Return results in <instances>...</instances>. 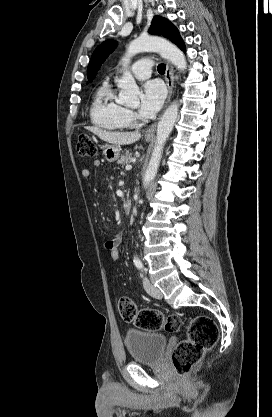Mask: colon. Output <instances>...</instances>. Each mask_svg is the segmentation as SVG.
Wrapping results in <instances>:
<instances>
[{"label": "colon", "instance_id": "1", "mask_svg": "<svg viewBox=\"0 0 272 417\" xmlns=\"http://www.w3.org/2000/svg\"><path fill=\"white\" fill-rule=\"evenodd\" d=\"M77 152L80 156L94 157L97 154V146L89 136L82 134L77 141ZM120 246L119 241H112L106 247L111 260L115 262L119 261L121 256ZM118 311L124 321L143 330L177 332L181 327L179 316H165L160 311L149 308L138 309L134 301L127 296L119 299ZM218 337V327L210 317L198 315L191 318L187 338L180 341L172 352V362L177 375L185 377L202 359L204 353L216 344Z\"/></svg>", "mask_w": 272, "mask_h": 417}]
</instances>
